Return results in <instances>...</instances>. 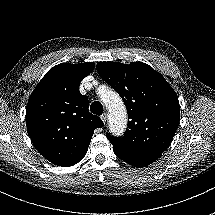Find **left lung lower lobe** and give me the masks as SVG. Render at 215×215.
<instances>
[{
	"mask_svg": "<svg viewBox=\"0 0 215 215\" xmlns=\"http://www.w3.org/2000/svg\"><path fill=\"white\" fill-rule=\"evenodd\" d=\"M114 153L117 157H119L121 160L125 161L126 163L134 166V167H145L149 164L156 161L161 155H129L125 154L123 152H120L119 150L114 148Z\"/></svg>",
	"mask_w": 215,
	"mask_h": 215,
	"instance_id": "obj_1",
	"label": "left lung lower lobe"
}]
</instances>
